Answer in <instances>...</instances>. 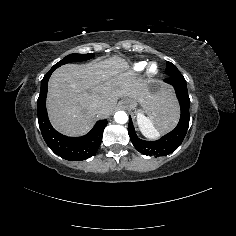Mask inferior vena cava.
<instances>
[{
  "label": "inferior vena cava",
  "mask_w": 236,
  "mask_h": 236,
  "mask_svg": "<svg viewBox=\"0 0 236 236\" xmlns=\"http://www.w3.org/2000/svg\"><path fill=\"white\" fill-rule=\"evenodd\" d=\"M99 107V105H98V103H93L92 105H91V109H97Z\"/></svg>",
  "instance_id": "obj_1"
}]
</instances>
